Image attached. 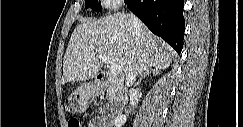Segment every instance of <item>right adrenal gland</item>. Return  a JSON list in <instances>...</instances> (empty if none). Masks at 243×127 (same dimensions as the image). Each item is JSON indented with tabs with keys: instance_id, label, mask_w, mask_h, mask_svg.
<instances>
[{
	"instance_id": "2a0ac1e0",
	"label": "right adrenal gland",
	"mask_w": 243,
	"mask_h": 127,
	"mask_svg": "<svg viewBox=\"0 0 243 127\" xmlns=\"http://www.w3.org/2000/svg\"><path fill=\"white\" fill-rule=\"evenodd\" d=\"M153 74V75H156L158 74V68H152V69H149V70H146L140 77V79L138 80L137 84H140L141 81L143 80V78L147 77L149 74Z\"/></svg>"
}]
</instances>
